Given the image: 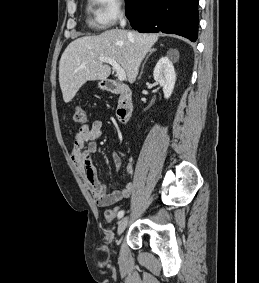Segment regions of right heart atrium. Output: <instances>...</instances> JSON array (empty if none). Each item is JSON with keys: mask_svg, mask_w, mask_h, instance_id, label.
Returning <instances> with one entry per match:
<instances>
[{"mask_svg": "<svg viewBox=\"0 0 259 283\" xmlns=\"http://www.w3.org/2000/svg\"><path fill=\"white\" fill-rule=\"evenodd\" d=\"M95 18L103 28L114 26L126 13V0H93Z\"/></svg>", "mask_w": 259, "mask_h": 283, "instance_id": "obj_1", "label": "right heart atrium"}]
</instances>
